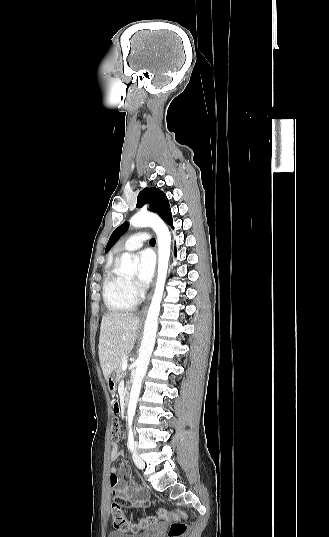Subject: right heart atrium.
Returning <instances> with one entry per match:
<instances>
[{"mask_svg":"<svg viewBox=\"0 0 329 537\" xmlns=\"http://www.w3.org/2000/svg\"><path fill=\"white\" fill-rule=\"evenodd\" d=\"M127 285H128V289H129L130 293H131L133 296H135V294H136V290H135L134 285H133L132 283H127Z\"/></svg>","mask_w":329,"mask_h":537,"instance_id":"1","label":"right heart atrium"}]
</instances>
